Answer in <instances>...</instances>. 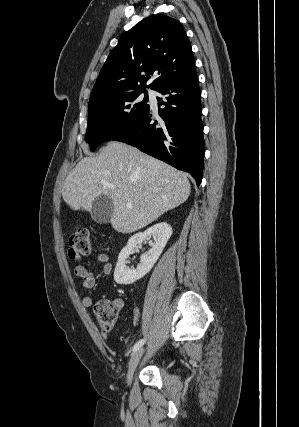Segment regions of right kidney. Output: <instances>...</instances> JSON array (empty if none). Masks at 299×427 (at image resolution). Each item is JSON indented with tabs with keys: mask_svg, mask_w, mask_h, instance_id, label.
<instances>
[{
	"mask_svg": "<svg viewBox=\"0 0 299 427\" xmlns=\"http://www.w3.org/2000/svg\"><path fill=\"white\" fill-rule=\"evenodd\" d=\"M171 235L172 228L166 222H160L142 233L133 235L118 256L114 280L118 284L129 285L145 276L158 260ZM150 237L153 238V241H149L151 249L147 254L140 257V264L133 269L127 267L126 260L132 254L134 248Z\"/></svg>",
	"mask_w": 299,
	"mask_h": 427,
	"instance_id": "1",
	"label": "right kidney"
}]
</instances>
